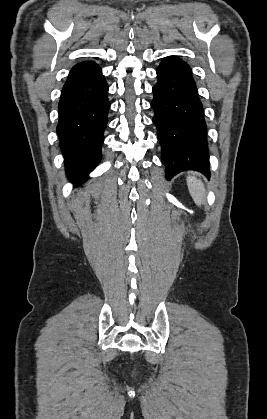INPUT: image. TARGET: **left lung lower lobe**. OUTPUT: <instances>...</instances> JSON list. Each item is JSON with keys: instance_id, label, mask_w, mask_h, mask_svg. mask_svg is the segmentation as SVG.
<instances>
[{"instance_id": "1", "label": "left lung lower lobe", "mask_w": 267, "mask_h": 419, "mask_svg": "<svg viewBox=\"0 0 267 419\" xmlns=\"http://www.w3.org/2000/svg\"><path fill=\"white\" fill-rule=\"evenodd\" d=\"M151 107L169 180L185 170L210 176L207 130L202 103L189 65L165 57L157 69Z\"/></svg>"}]
</instances>
